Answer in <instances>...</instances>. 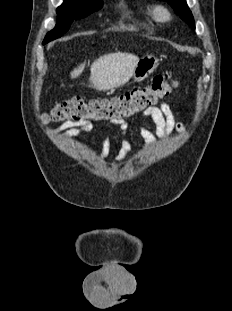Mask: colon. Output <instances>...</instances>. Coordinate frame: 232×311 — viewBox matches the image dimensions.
<instances>
[{"label":"colon","instance_id":"5ec220e1","mask_svg":"<svg viewBox=\"0 0 232 311\" xmlns=\"http://www.w3.org/2000/svg\"><path fill=\"white\" fill-rule=\"evenodd\" d=\"M171 72L154 76L145 87L134 88L110 99L84 100L71 97L57 103L44 114L45 123L63 121H120L154 106L175 87Z\"/></svg>","mask_w":232,"mask_h":311}]
</instances>
